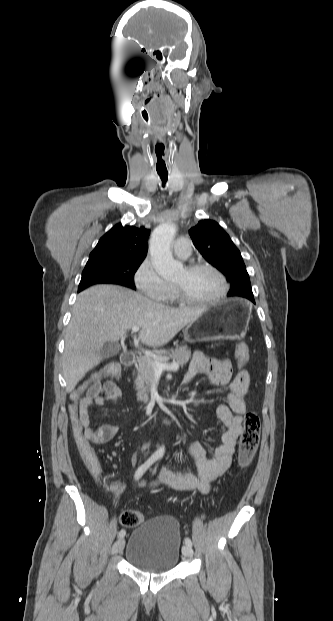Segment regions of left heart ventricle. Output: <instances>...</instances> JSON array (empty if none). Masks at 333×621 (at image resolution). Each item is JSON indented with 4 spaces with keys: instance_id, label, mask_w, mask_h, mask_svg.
Listing matches in <instances>:
<instances>
[{
    "instance_id": "left-heart-ventricle-1",
    "label": "left heart ventricle",
    "mask_w": 333,
    "mask_h": 621,
    "mask_svg": "<svg viewBox=\"0 0 333 621\" xmlns=\"http://www.w3.org/2000/svg\"><path fill=\"white\" fill-rule=\"evenodd\" d=\"M173 284L179 286L193 299L206 300L219 294L222 283L218 276L209 270L187 272L182 269L173 280Z\"/></svg>"
}]
</instances>
